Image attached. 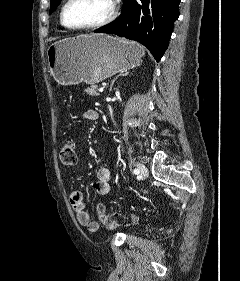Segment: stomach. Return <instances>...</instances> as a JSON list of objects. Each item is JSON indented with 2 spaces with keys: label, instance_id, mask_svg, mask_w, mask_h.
Instances as JSON below:
<instances>
[{
  "label": "stomach",
  "instance_id": "1",
  "mask_svg": "<svg viewBox=\"0 0 240 281\" xmlns=\"http://www.w3.org/2000/svg\"><path fill=\"white\" fill-rule=\"evenodd\" d=\"M144 48L108 35H81L48 47V68L61 85L95 84L140 64Z\"/></svg>",
  "mask_w": 240,
  "mask_h": 281
}]
</instances>
